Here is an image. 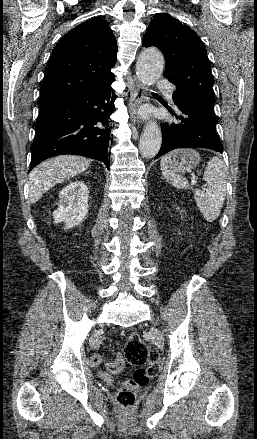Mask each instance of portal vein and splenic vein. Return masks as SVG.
Here are the masks:
<instances>
[{"label": "portal vein and splenic vein", "instance_id": "1", "mask_svg": "<svg viewBox=\"0 0 257 439\" xmlns=\"http://www.w3.org/2000/svg\"><path fill=\"white\" fill-rule=\"evenodd\" d=\"M196 183H197V181H196L195 177H192L191 178V184L195 185ZM203 189H205V188H203Z\"/></svg>", "mask_w": 257, "mask_h": 439}]
</instances>
